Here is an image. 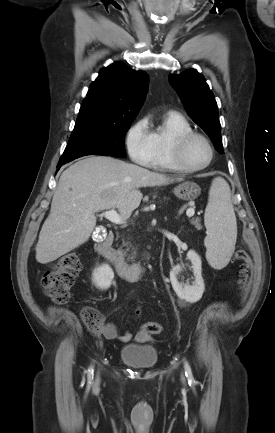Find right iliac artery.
Returning <instances> with one entry per match:
<instances>
[{
    "instance_id": "right-iliac-artery-1",
    "label": "right iliac artery",
    "mask_w": 275,
    "mask_h": 433,
    "mask_svg": "<svg viewBox=\"0 0 275 433\" xmlns=\"http://www.w3.org/2000/svg\"><path fill=\"white\" fill-rule=\"evenodd\" d=\"M94 373V369H93V367L91 366L89 369H88V381H92V379H93V374Z\"/></svg>"
}]
</instances>
